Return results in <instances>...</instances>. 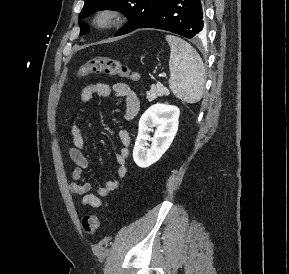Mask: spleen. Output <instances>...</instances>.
<instances>
[{
  "mask_svg": "<svg viewBox=\"0 0 289 274\" xmlns=\"http://www.w3.org/2000/svg\"><path fill=\"white\" fill-rule=\"evenodd\" d=\"M170 45L169 88L187 103L198 102L203 95L205 67L197 51L183 39L167 35Z\"/></svg>",
  "mask_w": 289,
  "mask_h": 274,
  "instance_id": "obj_1",
  "label": "spleen"
}]
</instances>
